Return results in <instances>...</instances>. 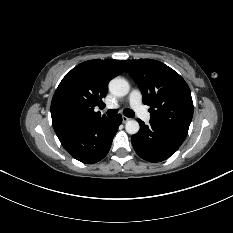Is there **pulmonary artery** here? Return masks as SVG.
<instances>
[{
	"instance_id": "e3ab8cb5",
	"label": "pulmonary artery",
	"mask_w": 233,
	"mask_h": 233,
	"mask_svg": "<svg viewBox=\"0 0 233 233\" xmlns=\"http://www.w3.org/2000/svg\"><path fill=\"white\" fill-rule=\"evenodd\" d=\"M128 101L130 106L141 119H143L146 122L150 120L148 112L143 108L142 95L139 90L133 89L129 94ZM117 107V104L107 106L108 109H113Z\"/></svg>"
}]
</instances>
